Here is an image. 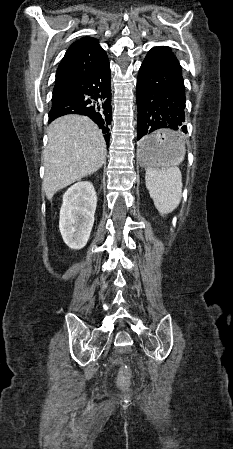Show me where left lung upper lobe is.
Instances as JSON below:
<instances>
[{"mask_svg": "<svg viewBox=\"0 0 233 449\" xmlns=\"http://www.w3.org/2000/svg\"><path fill=\"white\" fill-rule=\"evenodd\" d=\"M154 49H157L161 52H163L166 56H168L169 58L178 61L177 58L175 57V55L172 53L171 49L167 46H160V47H154Z\"/></svg>", "mask_w": 233, "mask_h": 449, "instance_id": "5c2ea615", "label": "left lung upper lobe"}]
</instances>
